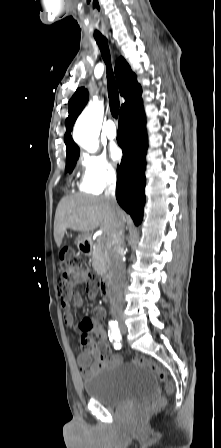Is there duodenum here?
<instances>
[{"label": "duodenum", "mask_w": 221, "mask_h": 448, "mask_svg": "<svg viewBox=\"0 0 221 448\" xmlns=\"http://www.w3.org/2000/svg\"><path fill=\"white\" fill-rule=\"evenodd\" d=\"M91 246H92L91 239L89 237H84L80 244V249L82 250V252L85 253L86 255H90L91 254ZM98 286H99V291L103 296L106 297L109 295V291H110V287H111L109 271H106L105 273L100 275Z\"/></svg>", "instance_id": "obj_1"}]
</instances>
